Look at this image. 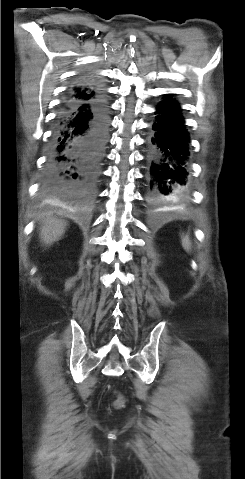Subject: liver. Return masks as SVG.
<instances>
[{
  "label": "liver",
  "mask_w": 245,
  "mask_h": 479,
  "mask_svg": "<svg viewBox=\"0 0 245 479\" xmlns=\"http://www.w3.org/2000/svg\"><path fill=\"white\" fill-rule=\"evenodd\" d=\"M67 222L62 219L46 218L40 227V239L43 244L50 246L58 241L65 233Z\"/></svg>",
  "instance_id": "6515ba94"
}]
</instances>
